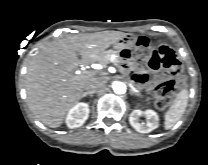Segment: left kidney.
<instances>
[{
  "label": "left kidney",
  "mask_w": 208,
  "mask_h": 165,
  "mask_svg": "<svg viewBox=\"0 0 208 165\" xmlns=\"http://www.w3.org/2000/svg\"><path fill=\"white\" fill-rule=\"evenodd\" d=\"M145 116L147 123H141L139 118ZM129 122L131 126L140 133H149L159 126V117L154 110L148 109L145 111L133 110L129 115Z\"/></svg>",
  "instance_id": "left-kidney-1"
}]
</instances>
